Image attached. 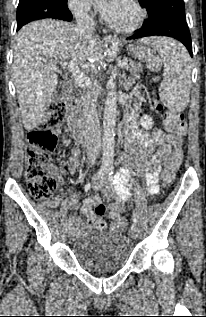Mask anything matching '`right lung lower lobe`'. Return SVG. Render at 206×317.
Here are the masks:
<instances>
[{
    "instance_id": "right-lung-lower-lobe-1",
    "label": "right lung lower lobe",
    "mask_w": 206,
    "mask_h": 317,
    "mask_svg": "<svg viewBox=\"0 0 206 317\" xmlns=\"http://www.w3.org/2000/svg\"><path fill=\"white\" fill-rule=\"evenodd\" d=\"M57 19L65 20V21H71L72 20V14L68 11L67 13H59L57 16ZM21 27H17V30H19Z\"/></svg>"
}]
</instances>
